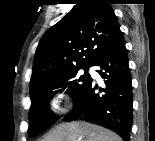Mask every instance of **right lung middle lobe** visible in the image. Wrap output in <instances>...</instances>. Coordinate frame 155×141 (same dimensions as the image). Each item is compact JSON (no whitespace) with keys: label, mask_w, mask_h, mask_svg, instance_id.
Masks as SVG:
<instances>
[{"label":"right lung middle lobe","mask_w":155,"mask_h":141,"mask_svg":"<svg viewBox=\"0 0 155 141\" xmlns=\"http://www.w3.org/2000/svg\"><path fill=\"white\" fill-rule=\"evenodd\" d=\"M86 68H77L49 78H46L30 88L31 107L29 111V136H37L57 121L51 114L48 102L58 92L66 90L74 100L78 98L90 80ZM79 69H84V75L77 74Z\"/></svg>","instance_id":"obj_1"}]
</instances>
